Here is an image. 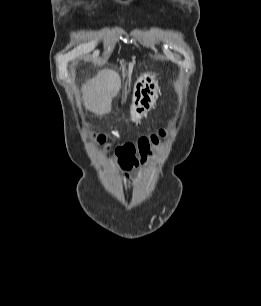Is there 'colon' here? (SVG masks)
<instances>
[{
    "mask_svg": "<svg viewBox=\"0 0 261 306\" xmlns=\"http://www.w3.org/2000/svg\"><path fill=\"white\" fill-rule=\"evenodd\" d=\"M165 135L166 131L160 129L149 135L141 136L135 142L120 144L114 149L108 144L103 135L95 136V140L104 153L114 151L122 169L130 170L139 164L146 163L159 147L160 141Z\"/></svg>",
    "mask_w": 261,
    "mask_h": 306,
    "instance_id": "1",
    "label": "colon"
}]
</instances>
